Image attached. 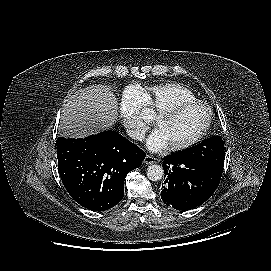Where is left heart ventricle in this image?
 <instances>
[{
  "label": "left heart ventricle",
  "instance_id": "1",
  "mask_svg": "<svg viewBox=\"0 0 271 271\" xmlns=\"http://www.w3.org/2000/svg\"><path fill=\"white\" fill-rule=\"evenodd\" d=\"M208 111L203 106L187 108L173 116L161 118L157 122L168 146L183 144L195 137L205 126Z\"/></svg>",
  "mask_w": 271,
  "mask_h": 271
}]
</instances>
